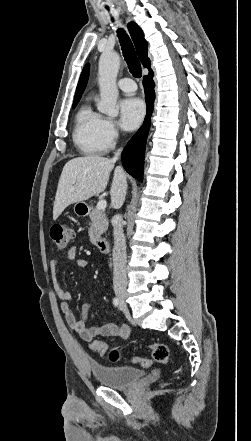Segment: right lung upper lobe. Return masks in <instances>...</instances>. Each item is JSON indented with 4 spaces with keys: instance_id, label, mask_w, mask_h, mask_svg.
Returning a JSON list of instances; mask_svg holds the SVG:
<instances>
[{
    "instance_id": "cb5924a9",
    "label": "right lung upper lobe",
    "mask_w": 251,
    "mask_h": 441,
    "mask_svg": "<svg viewBox=\"0 0 251 441\" xmlns=\"http://www.w3.org/2000/svg\"><path fill=\"white\" fill-rule=\"evenodd\" d=\"M127 27H128V31L131 35V38L134 42V45L137 50V54H138V57H139L141 63L143 64L144 67L148 68V70L150 71L151 64H150V60L147 56L148 44H147L146 40L144 39L143 31L135 22L128 23ZM88 76H89V64H87L84 67V69L81 73V76H80V79H79V82L77 85L74 101L80 100L82 93L86 87V84L88 81Z\"/></svg>"
}]
</instances>
